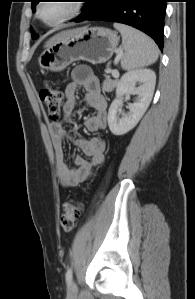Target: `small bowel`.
I'll return each mask as SVG.
<instances>
[{"label": "small bowel", "instance_id": "c3829d8e", "mask_svg": "<svg viewBox=\"0 0 195 299\" xmlns=\"http://www.w3.org/2000/svg\"><path fill=\"white\" fill-rule=\"evenodd\" d=\"M72 80L65 87V104L63 114L68 119L75 111L78 102L76 92L79 87L85 91L84 103L95 110V114L86 118L84 125L88 132L104 129L107 124V100L102 93L98 78L88 67L78 66L73 69ZM55 154L57 158V172L62 186L72 188L87 181L93 170L104 161L107 143L104 138L93 137L90 139L77 138L69 133L63 122L57 121L50 124ZM66 140L72 141L89 158L84 159L76 155L74 162L77 168H70L64 159L63 145Z\"/></svg>", "mask_w": 195, "mask_h": 299}]
</instances>
